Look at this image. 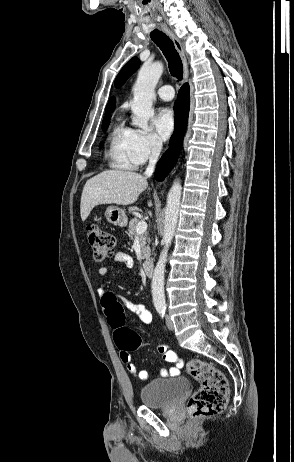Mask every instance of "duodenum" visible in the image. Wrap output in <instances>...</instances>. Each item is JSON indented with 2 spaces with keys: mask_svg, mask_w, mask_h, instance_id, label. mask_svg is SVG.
<instances>
[{
  "mask_svg": "<svg viewBox=\"0 0 294 462\" xmlns=\"http://www.w3.org/2000/svg\"><path fill=\"white\" fill-rule=\"evenodd\" d=\"M143 270L144 273L148 276L153 274L154 270V262L152 259H146L143 263Z\"/></svg>",
  "mask_w": 294,
  "mask_h": 462,
  "instance_id": "410a0bca",
  "label": "duodenum"
}]
</instances>
